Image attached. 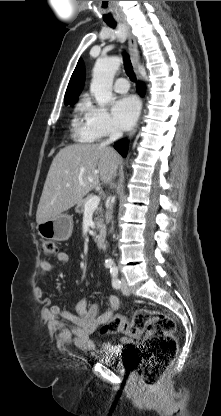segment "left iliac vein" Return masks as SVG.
<instances>
[{
    "mask_svg": "<svg viewBox=\"0 0 221 416\" xmlns=\"http://www.w3.org/2000/svg\"><path fill=\"white\" fill-rule=\"evenodd\" d=\"M122 285H121V291L124 295H129L130 294V289L127 285V281L124 277H122L121 279Z\"/></svg>",
    "mask_w": 221,
    "mask_h": 416,
    "instance_id": "1",
    "label": "left iliac vein"
}]
</instances>
